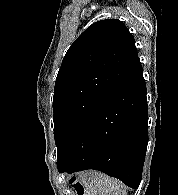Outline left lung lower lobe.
I'll return each instance as SVG.
<instances>
[{
    "mask_svg": "<svg viewBox=\"0 0 178 195\" xmlns=\"http://www.w3.org/2000/svg\"><path fill=\"white\" fill-rule=\"evenodd\" d=\"M146 84L141 69L83 126L57 159L60 173L95 169L139 187L148 143Z\"/></svg>",
    "mask_w": 178,
    "mask_h": 195,
    "instance_id": "left-lung-lower-lobe-1",
    "label": "left lung lower lobe"
}]
</instances>
